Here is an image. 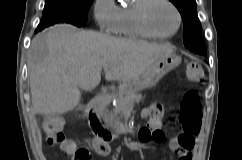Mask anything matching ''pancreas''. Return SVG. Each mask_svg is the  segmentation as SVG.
Listing matches in <instances>:
<instances>
[{
    "mask_svg": "<svg viewBox=\"0 0 242 160\" xmlns=\"http://www.w3.org/2000/svg\"><path fill=\"white\" fill-rule=\"evenodd\" d=\"M116 100V107L112 110L105 109L103 114L104 122L112 127L114 131L119 134L124 130L122 123L123 112L126 109H132L136 103H139L143 96L137 93H130L127 95H113Z\"/></svg>",
    "mask_w": 242,
    "mask_h": 160,
    "instance_id": "obj_1",
    "label": "pancreas"
}]
</instances>
